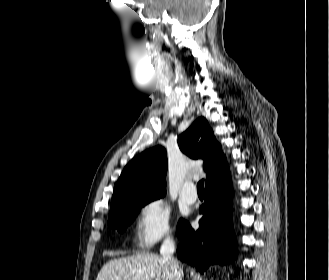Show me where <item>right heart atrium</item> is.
Instances as JSON below:
<instances>
[{
	"instance_id": "obj_1",
	"label": "right heart atrium",
	"mask_w": 329,
	"mask_h": 280,
	"mask_svg": "<svg viewBox=\"0 0 329 280\" xmlns=\"http://www.w3.org/2000/svg\"><path fill=\"white\" fill-rule=\"evenodd\" d=\"M172 234L171 210L161 198L145 202L138 211L137 241L145 248L168 239Z\"/></svg>"
}]
</instances>
